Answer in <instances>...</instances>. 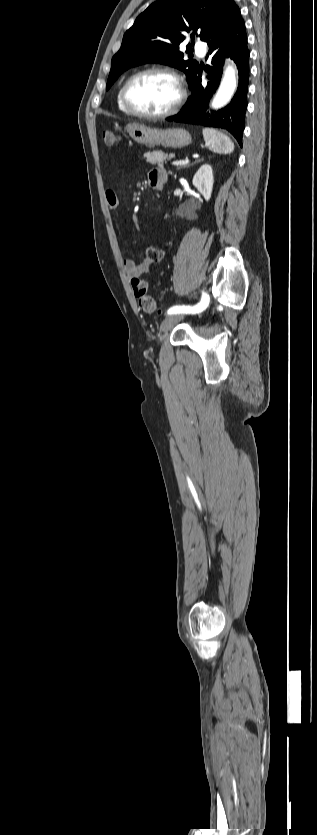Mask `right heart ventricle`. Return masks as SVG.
<instances>
[{
  "mask_svg": "<svg viewBox=\"0 0 317 835\" xmlns=\"http://www.w3.org/2000/svg\"><path fill=\"white\" fill-rule=\"evenodd\" d=\"M122 87H123V85L119 88L118 93H117L118 109L125 114H130V112L126 109V107L124 106V104L122 102V98H121Z\"/></svg>",
  "mask_w": 317,
  "mask_h": 835,
  "instance_id": "1",
  "label": "right heart ventricle"
}]
</instances>
